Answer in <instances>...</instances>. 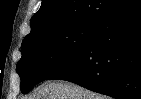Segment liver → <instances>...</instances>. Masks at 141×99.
Wrapping results in <instances>:
<instances>
[{"label": "liver", "instance_id": "6515ba94", "mask_svg": "<svg viewBox=\"0 0 141 99\" xmlns=\"http://www.w3.org/2000/svg\"><path fill=\"white\" fill-rule=\"evenodd\" d=\"M26 99H107L79 85L66 81L47 82Z\"/></svg>", "mask_w": 141, "mask_h": 99}]
</instances>
